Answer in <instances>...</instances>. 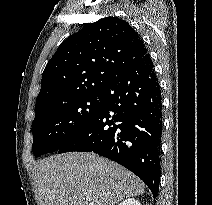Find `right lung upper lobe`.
Segmentation results:
<instances>
[{
    "label": "right lung upper lobe",
    "mask_w": 212,
    "mask_h": 205,
    "mask_svg": "<svg viewBox=\"0 0 212 205\" xmlns=\"http://www.w3.org/2000/svg\"><path fill=\"white\" fill-rule=\"evenodd\" d=\"M146 54L138 33L120 18L85 24L61 43L46 65L36 116L76 98L102 92L121 71Z\"/></svg>",
    "instance_id": "cb5924a9"
}]
</instances>
